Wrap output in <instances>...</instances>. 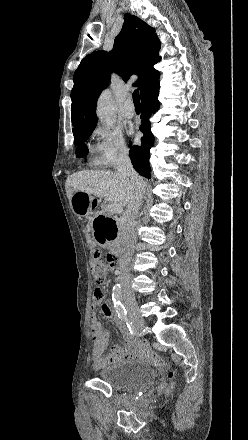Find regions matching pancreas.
Here are the masks:
<instances>
[{
  "mask_svg": "<svg viewBox=\"0 0 248 440\" xmlns=\"http://www.w3.org/2000/svg\"><path fill=\"white\" fill-rule=\"evenodd\" d=\"M100 214H104V215H107V216H112L113 215L112 213L108 212L107 208H103L101 210Z\"/></svg>",
  "mask_w": 248,
  "mask_h": 440,
  "instance_id": "pancreas-1",
  "label": "pancreas"
}]
</instances>
